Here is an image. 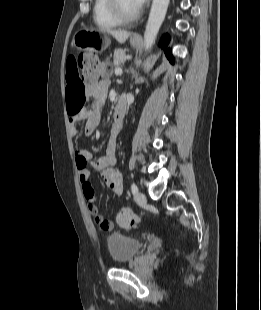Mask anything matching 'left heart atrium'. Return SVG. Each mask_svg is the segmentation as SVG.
Wrapping results in <instances>:
<instances>
[{
  "label": "left heart atrium",
  "mask_w": 261,
  "mask_h": 310,
  "mask_svg": "<svg viewBox=\"0 0 261 310\" xmlns=\"http://www.w3.org/2000/svg\"><path fill=\"white\" fill-rule=\"evenodd\" d=\"M138 9H140L146 2V0H133Z\"/></svg>",
  "instance_id": "obj_1"
}]
</instances>
